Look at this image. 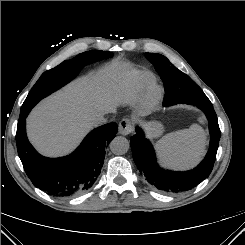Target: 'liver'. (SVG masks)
Returning a JSON list of instances; mask_svg holds the SVG:
<instances>
[{
	"label": "liver",
	"mask_w": 245,
	"mask_h": 245,
	"mask_svg": "<svg viewBox=\"0 0 245 245\" xmlns=\"http://www.w3.org/2000/svg\"><path fill=\"white\" fill-rule=\"evenodd\" d=\"M132 75L127 63L114 61L41 101L27 118L31 143L46 156L72 151L96 117L115 113L133 99Z\"/></svg>",
	"instance_id": "1"
}]
</instances>
